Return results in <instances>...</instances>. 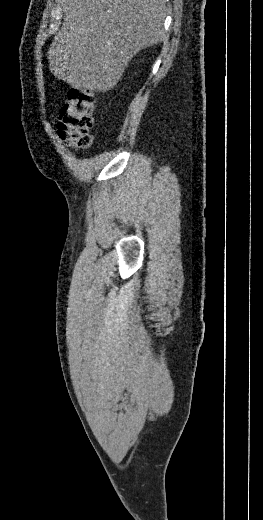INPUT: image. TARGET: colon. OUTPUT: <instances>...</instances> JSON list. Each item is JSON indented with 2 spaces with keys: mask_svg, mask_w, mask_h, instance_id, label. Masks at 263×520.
<instances>
[{
  "mask_svg": "<svg viewBox=\"0 0 263 520\" xmlns=\"http://www.w3.org/2000/svg\"><path fill=\"white\" fill-rule=\"evenodd\" d=\"M94 92L90 89L72 87L67 101L60 110L57 124L58 135L74 149H86L92 143L90 130L93 126Z\"/></svg>",
  "mask_w": 263,
  "mask_h": 520,
  "instance_id": "1",
  "label": "colon"
}]
</instances>
